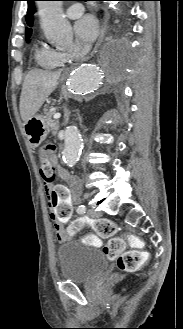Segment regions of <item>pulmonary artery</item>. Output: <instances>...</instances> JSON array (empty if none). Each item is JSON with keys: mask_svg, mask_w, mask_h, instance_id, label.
<instances>
[{"mask_svg": "<svg viewBox=\"0 0 183 329\" xmlns=\"http://www.w3.org/2000/svg\"><path fill=\"white\" fill-rule=\"evenodd\" d=\"M84 12V7L80 3H74L66 9V16L70 19H75L81 16Z\"/></svg>", "mask_w": 183, "mask_h": 329, "instance_id": "1", "label": "pulmonary artery"}]
</instances>
